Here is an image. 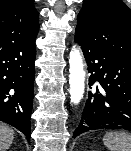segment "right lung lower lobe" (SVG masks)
Instances as JSON below:
<instances>
[{
	"label": "right lung lower lobe",
	"mask_w": 131,
	"mask_h": 151,
	"mask_svg": "<svg viewBox=\"0 0 131 151\" xmlns=\"http://www.w3.org/2000/svg\"><path fill=\"white\" fill-rule=\"evenodd\" d=\"M36 36L0 41V121L25 134L30 141Z\"/></svg>",
	"instance_id": "right-lung-lower-lobe-1"
}]
</instances>
